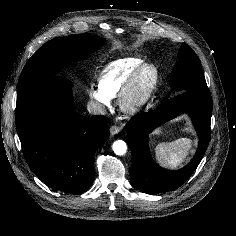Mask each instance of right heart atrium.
Instances as JSON below:
<instances>
[{
    "label": "right heart atrium",
    "mask_w": 236,
    "mask_h": 236,
    "mask_svg": "<svg viewBox=\"0 0 236 236\" xmlns=\"http://www.w3.org/2000/svg\"><path fill=\"white\" fill-rule=\"evenodd\" d=\"M89 96L100 106L107 107L110 105L111 98L98 85L90 86Z\"/></svg>",
    "instance_id": "right-heart-atrium-1"
}]
</instances>
